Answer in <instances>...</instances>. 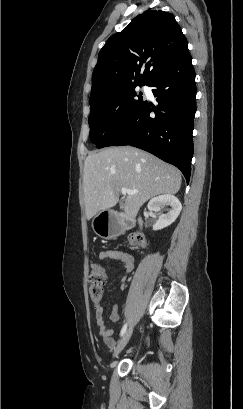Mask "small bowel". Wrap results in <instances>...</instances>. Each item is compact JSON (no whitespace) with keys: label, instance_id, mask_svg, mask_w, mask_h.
Masks as SVG:
<instances>
[{"label":"small bowel","instance_id":"1","mask_svg":"<svg viewBox=\"0 0 243 409\" xmlns=\"http://www.w3.org/2000/svg\"><path fill=\"white\" fill-rule=\"evenodd\" d=\"M97 258L99 260H109V261H117L120 262L123 266V269L125 273H130L133 268H134V263L132 257L121 250L117 249H106L102 250L99 252ZM126 281V277L123 276L121 278V282L124 283ZM96 324L98 325L100 329V335L102 336V339L105 343V345L108 348H114L115 347V341H114V331L107 329L105 326V320L103 317V308L101 306L97 307L96 309ZM110 320L115 324L118 325L120 324L121 320L120 317L116 311V309H113L111 315H110Z\"/></svg>","mask_w":243,"mask_h":409}]
</instances>
